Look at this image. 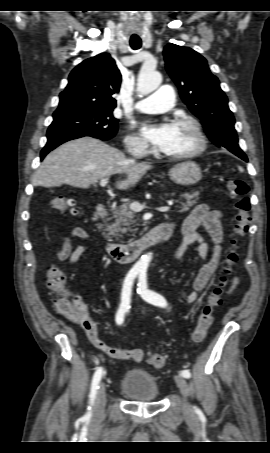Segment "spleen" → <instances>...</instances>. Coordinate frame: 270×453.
<instances>
[{
	"mask_svg": "<svg viewBox=\"0 0 270 453\" xmlns=\"http://www.w3.org/2000/svg\"><path fill=\"white\" fill-rule=\"evenodd\" d=\"M239 170H240V171H243V169H242V168H240V167H239Z\"/></svg>",
	"mask_w": 270,
	"mask_h": 453,
	"instance_id": "obj_1",
	"label": "spleen"
}]
</instances>
